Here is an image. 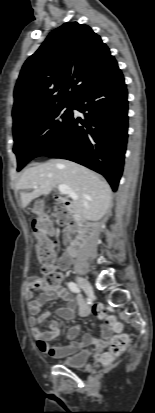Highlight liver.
<instances>
[{
  "label": "liver",
  "mask_w": 155,
  "mask_h": 413,
  "mask_svg": "<svg viewBox=\"0 0 155 413\" xmlns=\"http://www.w3.org/2000/svg\"><path fill=\"white\" fill-rule=\"evenodd\" d=\"M59 184L76 193L73 206L82 218L98 221L107 213L112 200L109 184L92 170L70 160L52 159L28 168L17 182L16 191L25 208L34 198L49 195Z\"/></svg>",
  "instance_id": "obj_1"
}]
</instances>
